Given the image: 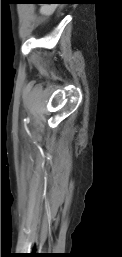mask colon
<instances>
[{"mask_svg": "<svg viewBox=\"0 0 122 257\" xmlns=\"http://www.w3.org/2000/svg\"><path fill=\"white\" fill-rule=\"evenodd\" d=\"M59 6L60 7H65L66 6V3L65 2H60L59 3ZM56 16H61V12H63V9H61V8H56ZM56 21H59V18H56ZM53 25H56V22H53Z\"/></svg>", "mask_w": 122, "mask_h": 257, "instance_id": "5ec220e1", "label": "colon"}]
</instances>
